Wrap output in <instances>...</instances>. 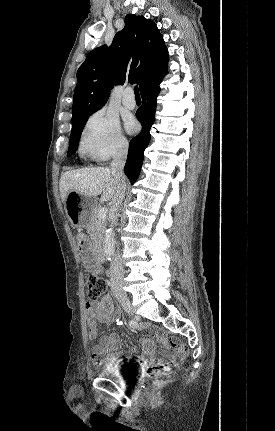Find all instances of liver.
Wrapping results in <instances>:
<instances>
[{"instance_id": "liver-1", "label": "liver", "mask_w": 275, "mask_h": 431, "mask_svg": "<svg viewBox=\"0 0 275 431\" xmlns=\"http://www.w3.org/2000/svg\"><path fill=\"white\" fill-rule=\"evenodd\" d=\"M60 197L65 204L67 194L75 191L87 197L100 194L101 201L111 200L118 188V182L107 167H92L65 172L59 182Z\"/></svg>"}]
</instances>
